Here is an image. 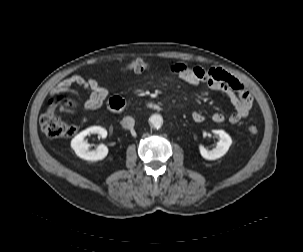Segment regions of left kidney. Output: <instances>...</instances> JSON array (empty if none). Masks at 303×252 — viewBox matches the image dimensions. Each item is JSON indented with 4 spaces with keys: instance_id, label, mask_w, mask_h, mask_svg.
Returning <instances> with one entry per match:
<instances>
[{
    "instance_id": "left-kidney-1",
    "label": "left kidney",
    "mask_w": 303,
    "mask_h": 252,
    "mask_svg": "<svg viewBox=\"0 0 303 252\" xmlns=\"http://www.w3.org/2000/svg\"><path fill=\"white\" fill-rule=\"evenodd\" d=\"M213 133L219 136L217 146L211 151H208L204 147L200 146V154L207 160H216L222 157L224 154H226L232 144L231 137L224 130H213Z\"/></svg>"
}]
</instances>
